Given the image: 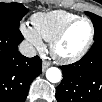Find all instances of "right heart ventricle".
<instances>
[{"label": "right heart ventricle", "instance_id": "obj_1", "mask_svg": "<svg viewBox=\"0 0 102 102\" xmlns=\"http://www.w3.org/2000/svg\"><path fill=\"white\" fill-rule=\"evenodd\" d=\"M76 18L77 15L62 10L38 12L31 17V26L43 40L50 42L58 32Z\"/></svg>", "mask_w": 102, "mask_h": 102}]
</instances>
